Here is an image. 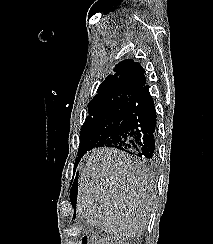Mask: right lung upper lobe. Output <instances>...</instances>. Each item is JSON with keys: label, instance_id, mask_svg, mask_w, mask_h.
Listing matches in <instances>:
<instances>
[{"label": "right lung upper lobe", "instance_id": "right-lung-upper-lobe-1", "mask_svg": "<svg viewBox=\"0 0 213 244\" xmlns=\"http://www.w3.org/2000/svg\"><path fill=\"white\" fill-rule=\"evenodd\" d=\"M145 86L143 67L133 59H126L117 64L114 73L100 84L97 94L91 101L116 95L137 96Z\"/></svg>", "mask_w": 213, "mask_h": 244}]
</instances>
